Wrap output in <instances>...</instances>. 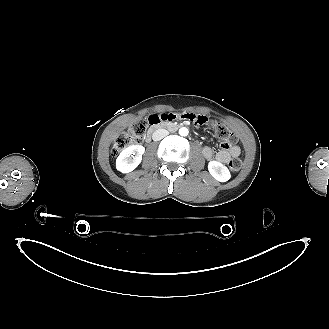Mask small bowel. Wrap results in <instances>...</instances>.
Here are the masks:
<instances>
[{
  "label": "small bowel",
  "mask_w": 329,
  "mask_h": 329,
  "mask_svg": "<svg viewBox=\"0 0 329 329\" xmlns=\"http://www.w3.org/2000/svg\"><path fill=\"white\" fill-rule=\"evenodd\" d=\"M159 118H161V120L167 119V120H171L175 123H179V122H183L185 124H189V125H193L194 127L201 129L203 128L205 125L208 124L209 119L206 115L204 114H191V113H179V112H175V113H171V112H165L162 115H159ZM203 155L207 158V159H216L217 161L221 162V163H226L228 162L231 158L233 157H237L240 155V149L238 146H222V149L219 150L218 152L214 153V151L206 146L203 148Z\"/></svg>",
  "instance_id": "1"
}]
</instances>
